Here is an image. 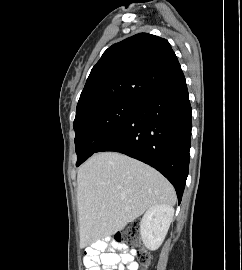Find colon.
Masks as SVG:
<instances>
[{"label":"colon","mask_w":242,"mask_h":270,"mask_svg":"<svg viewBox=\"0 0 242 270\" xmlns=\"http://www.w3.org/2000/svg\"><path fill=\"white\" fill-rule=\"evenodd\" d=\"M140 236V225L138 222H130L122 231L114 236V242L129 245L136 243ZM138 261L142 266H147L152 261V256L146 250H141L138 254Z\"/></svg>","instance_id":"5ec220e1"}]
</instances>
